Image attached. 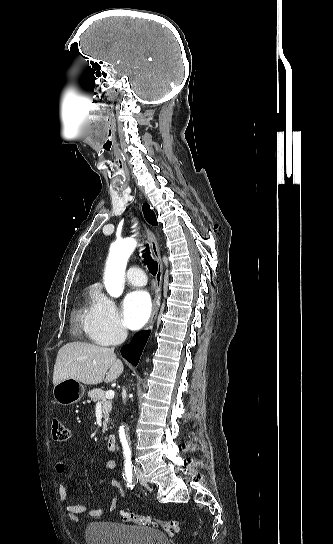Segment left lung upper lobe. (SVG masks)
<instances>
[{
  "mask_svg": "<svg viewBox=\"0 0 333 544\" xmlns=\"http://www.w3.org/2000/svg\"><path fill=\"white\" fill-rule=\"evenodd\" d=\"M143 212L147 221L152 225H157L156 216L152 210H150L147 203L143 204Z\"/></svg>",
  "mask_w": 333,
  "mask_h": 544,
  "instance_id": "1",
  "label": "left lung upper lobe"
}]
</instances>
